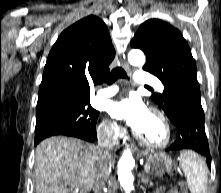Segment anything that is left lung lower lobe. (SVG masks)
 I'll return each mask as SVG.
<instances>
[{
    "instance_id": "obj_1",
    "label": "left lung lower lobe",
    "mask_w": 221,
    "mask_h": 193,
    "mask_svg": "<svg viewBox=\"0 0 221 193\" xmlns=\"http://www.w3.org/2000/svg\"><path fill=\"white\" fill-rule=\"evenodd\" d=\"M176 121L173 124L177 128V139L168 150H193L206 158L211 168V155L208 139L205 133V116L201 106V95L191 92L180 97L175 105Z\"/></svg>"
}]
</instances>
